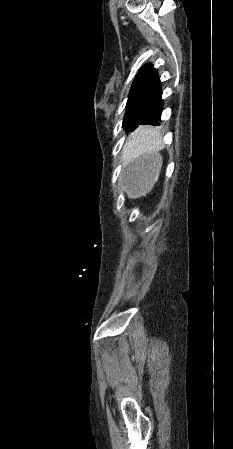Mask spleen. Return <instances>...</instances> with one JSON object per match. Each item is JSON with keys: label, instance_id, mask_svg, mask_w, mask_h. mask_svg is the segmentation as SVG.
<instances>
[{"label": "spleen", "instance_id": "spleen-1", "mask_svg": "<svg viewBox=\"0 0 233 449\" xmlns=\"http://www.w3.org/2000/svg\"><path fill=\"white\" fill-rule=\"evenodd\" d=\"M161 140V135L159 133H150L148 135H137L132 137L125 147V151L130 150L132 147H138V150L142 149L146 144L156 145V142ZM159 172V171H158ZM157 172V175H158Z\"/></svg>", "mask_w": 233, "mask_h": 449}]
</instances>
